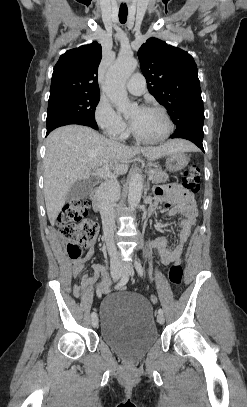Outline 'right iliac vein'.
Segmentation results:
<instances>
[{"mask_svg":"<svg viewBox=\"0 0 247 407\" xmlns=\"http://www.w3.org/2000/svg\"><path fill=\"white\" fill-rule=\"evenodd\" d=\"M122 272H123V267L121 265L113 264L111 266V275L114 280H118L121 277ZM92 326L93 327L98 326V318L95 317L92 319Z\"/></svg>","mask_w":247,"mask_h":407,"instance_id":"1","label":"right iliac vein"}]
</instances>
